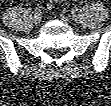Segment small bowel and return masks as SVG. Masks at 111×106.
Returning a JSON list of instances; mask_svg holds the SVG:
<instances>
[{"label":"small bowel","mask_w":111,"mask_h":106,"mask_svg":"<svg viewBox=\"0 0 111 106\" xmlns=\"http://www.w3.org/2000/svg\"><path fill=\"white\" fill-rule=\"evenodd\" d=\"M59 1L58 0H51L48 3V8H52L55 4H57Z\"/></svg>","instance_id":"obj_1"}]
</instances>
